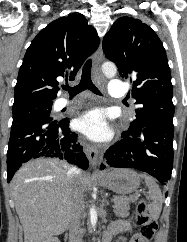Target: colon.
I'll list each match as a JSON object with an SVG mask.
<instances>
[{"instance_id":"colon-1","label":"colon","mask_w":187,"mask_h":242,"mask_svg":"<svg viewBox=\"0 0 187 242\" xmlns=\"http://www.w3.org/2000/svg\"><path fill=\"white\" fill-rule=\"evenodd\" d=\"M136 221L140 227L137 242H150L157 230V221L152 218L147 210V203L144 199L138 201L136 205Z\"/></svg>"}]
</instances>
